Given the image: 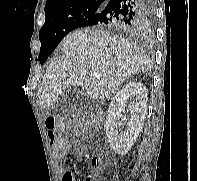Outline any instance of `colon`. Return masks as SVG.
<instances>
[{
	"label": "colon",
	"instance_id": "colon-1",
	"mask_svg": "<svg viewBox=\"0 0 197 181\" xmlns=\"http://www.w3.org/2000/svg\"><path fill=\"white\" fill-rule=\"evenodd\" d=\"M90 125L89 121H86L81 115H72L70 117H50L46 121L47 134L50 143L54 149H60L63 144L62 132L69 128V131L74 136L82 135L86 132ZM91 162L95 167H103L106 163V157L104 155L93 156ZM83 181H93V173L87 172Z\"/></svg>",
	"mask_w": 197,
	"mask_h": 181
}]
</instances>
